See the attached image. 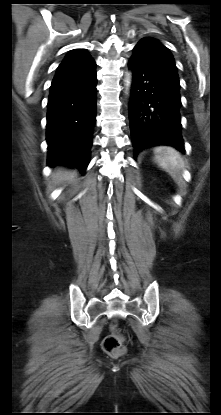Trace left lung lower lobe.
Returning <instances> with one entry per match:
<instances>
[{
    "label": "left lung lower lobe",
    "mask_w": 221,
    "mask_h": 415,
    "mask_svg": "<svg viewBox=\"0 0 221 415\" xmlns=\"http://www.w3.org/2000/svg\"><path fill=\"white\" fill-rule=\"evenodd\" d=\"M128 66L133 73L129 123L134 157L157 145L184 152L179 81L140 59L131 57Z\"/></svg>",
    "instance_id": "0a47b994"
}]
</instances>
